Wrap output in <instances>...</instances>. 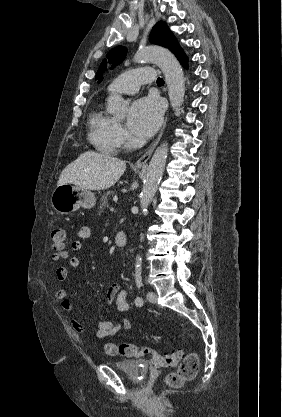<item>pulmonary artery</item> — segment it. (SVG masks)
Here are the masks:
<instances>
[{
  "label": "pulmonary artery",
  "mask_w": 282,
  "mask_h": 417,
  "mask_svg": "<svg viewBox=\"0 0 282 417\" xmlns=\"http://www.w3.org/2000/svg\"><path fill=\"white\" fill-rule=\"evenodd\" d=\"M154 71V68L149 65H144L140 70H128L116 77L108 86L109 93H126L135 94L141 84L143 83H155L157 76L155 74H149Z\"/></svg>",
  "instance_id": "pulmonary-artery-1"
}]
</instances>
